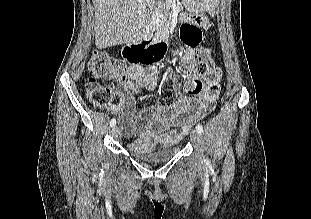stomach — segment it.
Returning <instances> with one entry per match:
<instances>
[{"mask_svg":"<svg viewBox=\"0 0 311 219\" xmlns=\"http://www.w3.org/2000/svg\"><path fill=\"white\" fill-rule=\"evenodd\" d=\"M183 4L187 9L180 15L181 21H189L198 26L204 27L208 24V17L203 13V11H198L197 9L191 10L193 4L192 0H183Z\"/></svg>","mask_w":311,"mask_h":219,"instance_id":"stomach-1","label":"stomach"}]
</instances>
